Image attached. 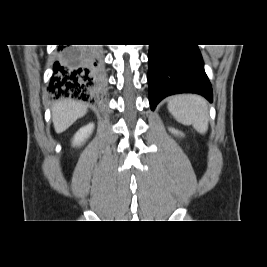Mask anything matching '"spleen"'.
Returning a JSON list of instances; mask_svg holds the SVG:
<instances>
[{"mask_svg": "<svg viewBox=\"0 0 267 267\" xmlns=\"http://www.w3.org/2000/svg\"><path fill=\"white\" fill-rule=\"evenodd\" d=\"M168 110L178 122L192 125L199 133L204 134L208 130V107L202 97L173 96L168 101Z\"/></svg>", "mask_w": 267, "mask_h": 267, "instance_id": "3e777b00", "label": "spleen"}]
</instances>
